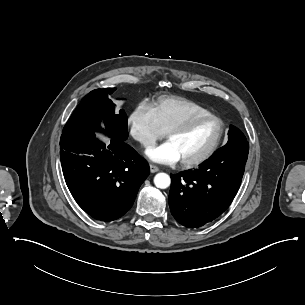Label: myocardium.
<instances>
[{"mask_svg":"<svg viewBox=\"0 0 305 305\" xmlns=\"http://www.w3.org/2000/svg\"><path fill=\"white\" fill-rule=\"evenodd\" d=\"M211 118L218 119L220 124H221V130H220V134H219L218 139L201 156H199L197 158H194V159H191V160H181V162H182V164L185 168H193V167L199 166V165L205 163L206 161H208L209 159H211L214 156V154L220 149V147L222 146V144L225 141V137H226V134H227V131H228L227 124H226L225 120L221 116H219L218 114L208 112L206 114L196 115V116L186 118V119H184L180 122H177V123L173 124L172 126H170L166 130L165 135L168 138V136L171 133L184 131V130L188 129L190 126H192L196 123L203 122V121H206V120L211 119Z\"/></svg>","mask_w":305,"mask_h":305,"instance_id":"myocardium-1","label":"myocardium"}]
</instances>
